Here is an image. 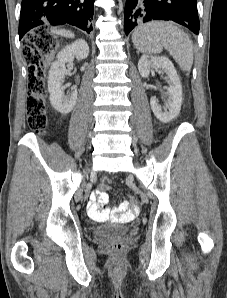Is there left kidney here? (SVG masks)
I'll list each match as a JSON object with an SVG mask.
<instances>
[{
	"label": "left kidney",
	"instance_id": "obj_1",
	"mask_svg": "<svg viewBox=\"0 0 227 298\" xmlns=\"http://www.w3.org/2000/svg\"><path fill=\"white\" fill-rule=\"evenodd\" d=\"M161 68L169 79V99L164 106L159 105L155 97H151L150 105L154 115L167 123L176 118L181 110L182 85L173 63L167 57L143 55L138 62V70L142 77L147 78L152 69Z\"/></svg>",
	"mask_w": 227,
	"mask_h": 298
}]
</instances>
